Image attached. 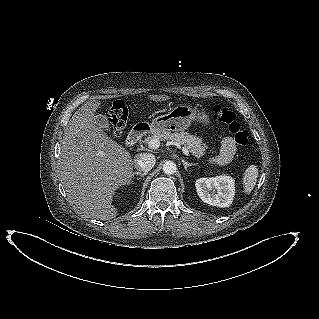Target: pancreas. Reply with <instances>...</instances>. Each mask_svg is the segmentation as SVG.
<instances>
[{"label": "pancreas", "instance_id": "pancreas-1", "mask_svg": "<svg viewBox=\"0 0 319 319\" xmlns=\"http://www.w3.org/2000/svg\"><path fill=\"white\" fill-rule=\"evenodd\" d=\"M152 139L167 140L177 145L185 146L195 157L200 158L206 154L207 146L203 144L201 138L187 132H155L151 137L145 139L149 143Z\"/></svg>", "mask_w": 319, "mask_h": 319}]
</instances>
